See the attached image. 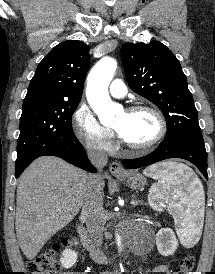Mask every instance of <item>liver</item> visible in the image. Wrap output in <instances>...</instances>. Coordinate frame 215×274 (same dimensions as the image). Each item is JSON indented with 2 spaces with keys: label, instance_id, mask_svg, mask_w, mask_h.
Returning a JSON list of instances; mask_svg holds the SVG:
<instances>
[{
  "label": "liver",
  "instance_id": "1",
  "mask_svg": "<svg viewBox=\"0 0 215 274\" xmlns=\"http://www.w3.org/2000/svg\"><path fill=\"white\" fill-rule=\"evenodd\" d=\"M88 178L85 171L52 156L36 159L23 172L17 186L15 228L27 259L33 260L78 214Z\"/></svg>",
  "mask_w": 215,
  "mask_h": 274
}]
</instances>
